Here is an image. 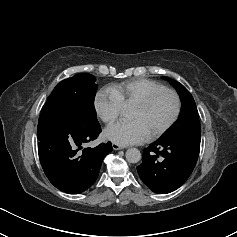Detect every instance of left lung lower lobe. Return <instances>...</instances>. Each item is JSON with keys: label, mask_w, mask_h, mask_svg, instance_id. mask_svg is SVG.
I'll use <instances>...</instances> for the list:
<instances>
[{"label": "left lung lower lobe", "mask_w": 237, "mask_h": 237, "mask_svg": "<svg viewBox=\"0 0 237 237\" xmlns=\"http://www.w3.org/2000/svg\"><path fill=\"white\" fill-rule=\"evenodd\" d=\"M201 137L158 139L143 151L137 167L144 184L153 192L170 193L179 188L192 173L200 151Z\"/></svg>", "instance_id": "obj_1"}]
</instances>
